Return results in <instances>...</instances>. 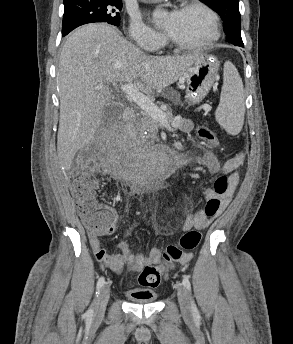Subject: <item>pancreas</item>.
<instances>
[{"label": "pancreas", "instance_id": "obj_1", "mask_svg": "<svg viewBox=\"0 0 293 344\" xmlns=\"http://www.w3.org/2000/svg\"><path fill=\"white\" fill-rule=\"evenodd\" d=\"M179 100V95L177 96V100ZM166 114L167 117V121L170 123L173 121V117H172V113L170 110H166L164 112ZM161 123L159 121H157L156 119L152 118L151 116H149L148 114H146L145 112L142 114V117L139 121V123L136 126V130L138 132L143 133L144 131H148L151 132V136L153 139H156V132L158 130L159 127H161ZM179 129L183 128V121H181L178 125Z\"/></svg>", "mask_w": 293, "mask_h": 344}]
</instances>
